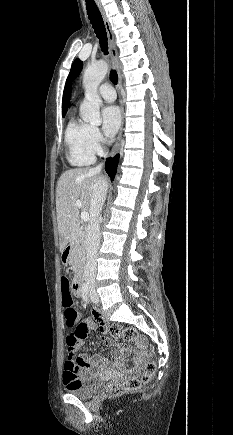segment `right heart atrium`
<instances>
[{
  "label": "right heart atrium",
  "mask_w": 233,
  "mask_h": 435,
  "mask_svg": "<svg viewBox=\"0 0 233 435\" xmlns=\"http://www.w3.org/2000/svg\"><path fill=\"white\" fill-rule=\"evenodd\" d=\"M104 138L96 127H91L89 135V146L94 154H100L104 149Z\"/></svg>",
  "instance_id": "1"
}]
</instances>
